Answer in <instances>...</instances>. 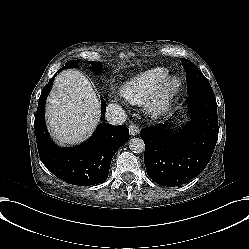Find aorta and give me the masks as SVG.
<instances>
[{
  "label": "aorta",
  "instance_id": "obj_1",
  "mask_svg": "<svg viewBox=\"0 0 249 249\" xmlns=\"http://www.w3.org/2000/svg\"><path fill=\"white\" fill-rule=\"evenodd\" d=\"M128 145L129 149L136 154H140L145 151V143L141 138L134 137L130 139Z\"/></svg>",
  "mask_w": 249,
  "mask_h": 249
}]
</instances>
